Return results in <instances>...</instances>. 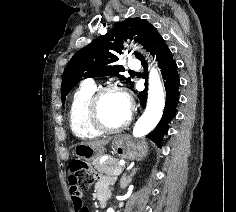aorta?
Listing matches in <instances>:
<instances>
[{"label":"aorta","instance_id":"obj_1","mask_svg":"<svg viewBox=\"0 0 236 212\" xmlns=\"http://www.w3.org/2000/svg\"><path fill=\"white\" fill-rule=\"evenodd\" d=\"M164 106L165 95L160 76L157 69L152 67L149 73L147 106L142 116L134 125V137H142L154 129L162 117ZM107 212H114V208L109 207Z\"/></svg>","mask_w":236,"mask_h":212}]
</instances>
